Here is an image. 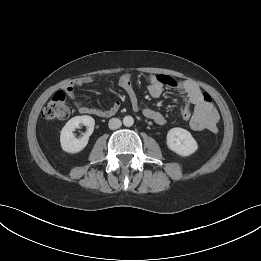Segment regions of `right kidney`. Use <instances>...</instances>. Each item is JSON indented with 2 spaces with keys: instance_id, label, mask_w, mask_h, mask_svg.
<instances>
[{
  "instance_id": "1",
  "label": "right kidney",
  "mask_w": 261,
  "mask_h": 261,
  "mask_svg": "<svg viewBox=\"0 0 261 261\" xmlns=\"http://www.w3.org/2000/svg\"><path fill=\"white\" fill-rule=\"evenodd\" d=\"M80 124L87 126V132L80 139L75 138L73 131ZM95 120L88 115L75 116L71 118L61 130L60 143L65 152L78 153L84 149L88 143L89 137L93 133Z\"/></svg>"
}]
</instances>
